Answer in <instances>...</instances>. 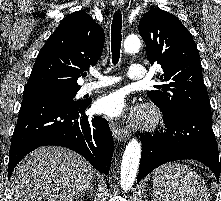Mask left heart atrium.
<instances>
[{
    "label": "left heart atrium",
    "mask_w": 221,
    "mask_h": 201,
    "mask_svg": "<svg viewBox=\"0 0 221 201\" xmlns=\"http://www.w3.org/2000/svg\"><path fill=\"white\" fill-rule=\"evenodd\" d=\"M97 111L108 117H121L127 113H133L128 105L127 95L123 90L110 92L98 99Z\"/></svg>",
    "instance_id": "1"
}]
</instances>
